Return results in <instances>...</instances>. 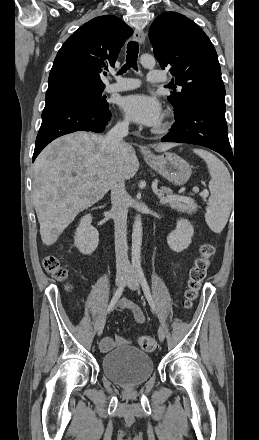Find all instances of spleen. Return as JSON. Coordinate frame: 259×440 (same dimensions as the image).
Returning <instances> with one entry per match:
<instances>
[{
    "label": "spleen",
    "mask_w": 259,
    "mask_h": 440,
    "mask_svg": "<svg viewBox=\"0 0 259 440\" xmlns=\"http://www.w3.org/2000/svg\"><path fill=\"white\" fill-rule=\"evenodd\" d=\"M194 152L205 160L211 176L209 182L211 195L205 220L213 232L220 233L228 221L232 208V179L227 167L215 155L202 149H195Z\"/></svg>",
    "instance_id": "1"
}]
</instances>
